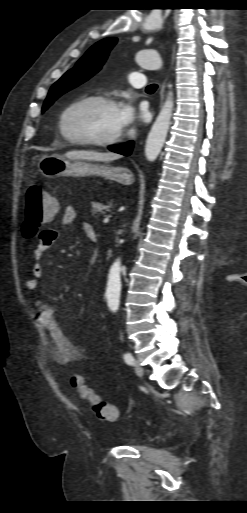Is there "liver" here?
<instances>
[{"label":"liver","mask_w":247,"mask_h":513,"mask_svg":"<svg viewBox=\"0 0 247 513\" xmlns=\"http://www.w3.org/2000/svg\"><path fill=\"white\" fill-rule=\"evenodd\" d=\"M70 159H84L96 161H111L119 159V154L113 152H97L93 150H75L65 154Z\"/></svg>","instance_id":"6515ba94"}]
</instances>
